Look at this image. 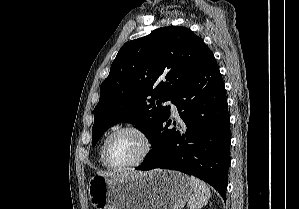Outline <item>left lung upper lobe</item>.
<instances>
[{
	"mask_svg": "<svg viewBox=\"0 0 299 209\" xmlns=\"http://www.w3.org/2000/svg\"><path fill=\"white\" fill-rule=\"evenodd\" d=\"M213 57L200 37L180 26L158 28L125 43L100 87L92 145L119 122L134 124L151 141L170 110L163 102Z\"/></svg>",
	"mask_w": 299,
	"mask_h": 209,
	"instance_id": "obj_1",
	"label": "left lung upper lobe"
}]
</instances>
